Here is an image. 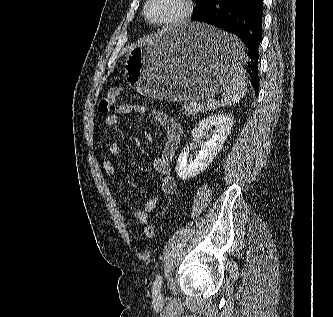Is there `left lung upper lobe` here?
<instances>
[{
	"mask_svg": "<svg viewBox=\"0 0 333 317\" xmlns=\"http://www.w3.org/2000/svg\"><path fill=\"white\" fill-rule=\"evenodd\" d=\"M194 1L196 3L194 14L203 11L211 2V0H194Z\"/></svg>",
	"mask_w": 333,
	"mask_h": 317,
	"instance_id": "obj_1",
	"label": "left lung upper lobe"
}]
</instances>
